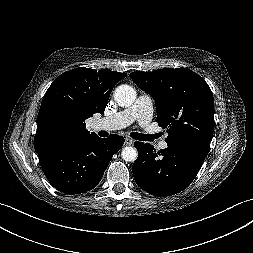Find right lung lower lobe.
I'll list each match as a JSON object with an SVG mask.
<instances>
[{"instance_id": "1", "label": "right lung lower lobe", "mask_w": 253, "mask_h": 253, "mask_svg": "<svg viewBox=\"0 0 253 253\" xmlns=\"http://www.w3.org/2000/svg\"><path fill=\"white\" fill-rule=\"evenodd\" d=\"M124 138L94 136L79 142L56 143L38 152L42 170L59 191L79 194L93 189L103 177Z\"/></svg>"}]
</instances>
